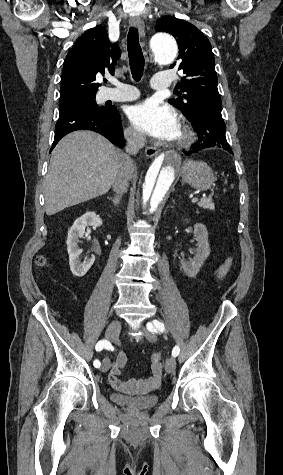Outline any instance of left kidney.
<instances>
[{
	"label": "left kidney",
	"instance_id": "obj_1",
	"mask_svg": "<svg viewBox=\"0 0 283 475\" xmlns=\"http://www.w3.org/2000/svg\"><path fill=\"white\" fill-rule=\"evenodd\" d=\"M194 238L198 241L194 257H188L181 261V267L188 277H196L210 253L208 232L204 224H194Z\"/></svg>",
	"mask_w": 283,
	"mask_h": 475
}]
</instances>
